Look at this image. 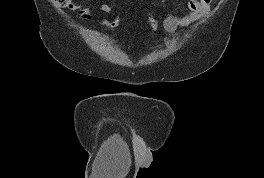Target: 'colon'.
I'll return each mask as SVG.
<instances>
[{"instance_id":"obj_1","label":"colon","mask_w":264,"mask_h":178,"mask_svg":"<svg viewBox=\"0 0 264 178\" xmlns=\"http://www.w3.org/2000/svg\"><path fill=\"white\" fill-rule=\"evenodd\" d=\"M57 4L63 8H72L73 0H56ZM161 19L156 14H150L146 19V28L149 33H152L157 30L160 26ZM121 24V18L119 16H115L112 18H107L102 22V25L106 29H116Z\"/></svg>"}]
</instances>
